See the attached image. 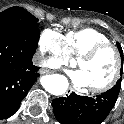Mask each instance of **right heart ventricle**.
I'll list each match as a JSON object with an SVG mask.
<instances>
[{
	"mask_svg": "<svg viewBox=\"0 0 124 124\" xmlns=\"http://www.w3.org/2000/svg\"><path fill=\"white\" fill-rule=\"evenodd\" d=\"M64 48L68 57L79 58L97 44L110 42L109 38L94 28L69 31L63 37Z\"/></svg>",
	"mask_w": 124,
	"mask_h": 124,
	"instance_id": "e07e8e85",
	"label": "right heart ventricle"
}]
</instances>
